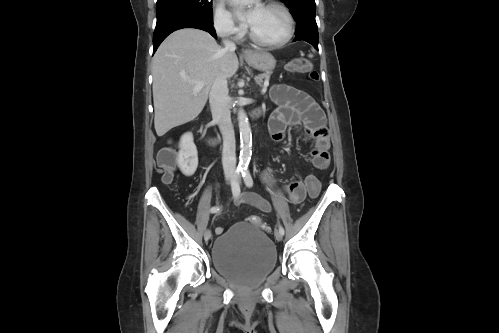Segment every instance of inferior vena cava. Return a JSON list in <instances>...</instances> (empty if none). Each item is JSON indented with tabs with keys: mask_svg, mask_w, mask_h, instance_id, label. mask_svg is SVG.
<instances>
[{
	"mask_svg": "<svg viewBox=\"0 0 499 333\" xmlns=\"http://www.w3.org/2000/svg\"><path fill=\"white\" fill-rule=\"evenodd\" d=\"M226 50H235L232 41H223ZM210 108L213 120L218 124L223 137L222 165L225 174L236 172L235 135L230 115V99L228 95L227 79L218 76L209 94Z\"/></svg>",
	"mask_w": 499,
	"mask_h": 333,
	"instance_id": "1",
	"label": "inferior vena cava"
}]
</instances>
